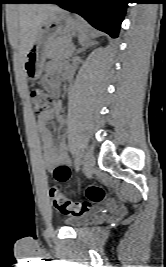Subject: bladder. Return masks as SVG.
<instances>
[{
    "label": "bladder",
    "mask_w": 166,
    "mask_h": 267,
    "mask_svg": "<svg viewBox=\"0 0 166 267\" xmlns=\"http://www.w3.org/2000/svg\"><path fill=\"white\" fill-rule=\"evenodd\" d=\"M95 213H86L83 215L73 216L65 220V224L72 227L78 228L88 224L95 218Z\"/></svg>",
    "instance_id": "1"
}]
</instances>
